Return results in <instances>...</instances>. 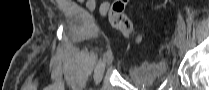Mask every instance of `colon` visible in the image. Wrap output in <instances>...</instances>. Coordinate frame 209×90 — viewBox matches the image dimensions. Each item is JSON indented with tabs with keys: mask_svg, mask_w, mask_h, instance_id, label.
I'll return each mask as SVG.
<instances>
[{
	"mask_svg": "<svg viewBox=\"0 0 209 90\" xmlns=\"http://www.w3.org/2000/svg\"><path fill=\"white\" fill-rule=\"evenodd\" d=\"M127 0H116L112 3L109 11V20L114 28L119 30L124 37L140 41V36H135L133 25L130 19L125 15L124 10Z\"/></svg>",
	"mask_w": 209,
	"mask_h": 90,
	"instance_id": "colon-1",
	"label": "colon"
}]
</instances>
